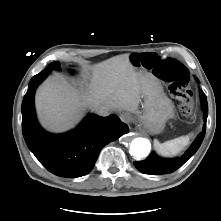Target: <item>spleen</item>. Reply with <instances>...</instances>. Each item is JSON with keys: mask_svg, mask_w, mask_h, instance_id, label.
<instances>
[{"mask_svg": "<svg viewBox=\"0 0 221 221\" xmlns=\"http://www.w3.org/2000/svg\"><path fill=\"white\" fill-rule=\"evenodd\" d=\"M189 140L190 135L180 136L164 143H160L158 140H155L154 147L159 155L163 157H170L182 151L184 147L188 145Z\"/></svg>", "mask_w": 221, "mask_h": 221, "instance_id": "3e777b00", "label": "spleen"}]
</instances>
